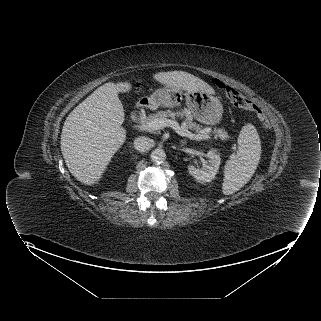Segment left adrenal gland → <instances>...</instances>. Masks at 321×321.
<instances>
[{
    "label": "left adrenal gland",
    "mask_w": 321,
    "mask_h": 321,
    "mask_svg": "<svg viewBox=\"0 0 321 321\" xmlns=\"http://www.w3.org/2000/svg\"><path fill=\"white\" fill-rule=\"evenodd\" d=\"M186 143H187V141H186V140L182 141V142H181V146L186 145Z\"/></svg>",
    "instance_id": "a2214340"
}]
</instances>
